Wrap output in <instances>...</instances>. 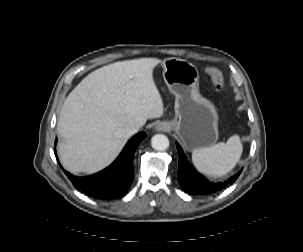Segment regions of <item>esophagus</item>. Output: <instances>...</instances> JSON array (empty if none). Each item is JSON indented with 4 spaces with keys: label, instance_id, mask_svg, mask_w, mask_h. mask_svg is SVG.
Instances as JSON below:
<instances>
[{
    "label": "esophagus",
    "instance_id": "34e87169",
    "mask_svg": "<svg viewBox=\"0 0 303 252\" xmlns=\"http://www.w3.org/2000/svg\"><path fill=\"white\" fill-rule=\"evenodd\" d=\"M156 129H157V130H164V129H165V127H164V126H162V125H157V126H156Z\"/></svg>",
    "mask_w": 303,
    "mask_h": 252
}]
</instances>
